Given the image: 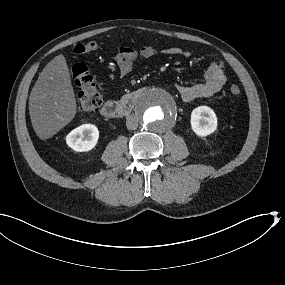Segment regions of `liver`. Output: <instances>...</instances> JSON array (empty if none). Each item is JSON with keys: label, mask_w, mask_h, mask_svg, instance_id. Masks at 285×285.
Masks as SVG:
<instances>
[{"label": "liver", "mask_w": 285, "mask_h": 285, "mask_svg": "<svg viewBox=\"0 0 285 285\" xmlns=\"http://www.w3.org/2000/svg\"><path fill=\"white\" fill-rule=\"evenodd\" d=\"M76 99L65 57H54L40 73L29 96V114L37 136L48 139L76 114Z\"/></svg>", "instance_id": "obj_1"}]
</instances>
